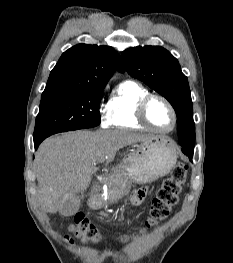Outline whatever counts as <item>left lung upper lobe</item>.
<instances>
[{
  "label": "left lung upper lobe",
  "mask_w": 233,
  "mask_h": 263,
  "mask_svg": "<svg viewBox=\"0 0 233 263\" xmlns=\"http://www.w3.org/2000/svg\"><path fill=\"white\" fill-rule=\"evenodd\" d=\"M127 72L164 96L177 115L179 141L194 146L195 124L187 77L169 51L160 46H137L122 53Z\"/></svg>",
  "instance_id": "left-lung-upper-lobe-1"
}]
</instances>
